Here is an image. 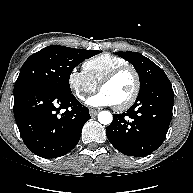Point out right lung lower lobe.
Instances as JSON below:
<instances>
[{
  "mask_svg": "<svg viewBox=\"0 0 193 193\" xmlns=\"http://www.w3.org/2000/svg\"><path fill=\"white\" fill-rule=\"evenodd\" d=\"M14 116L21 138L34 154L56 158L78 143L88 108L72 93L37 86L14 94Z\"/></svg>",
  "mask_w": 193,
  "mask_h": 193,
  "instance_id": "1",
  "label": "right lung lower lobe"
}]
</instances>
